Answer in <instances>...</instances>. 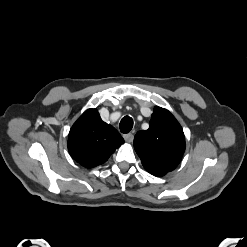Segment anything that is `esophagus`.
I'll return each mask as SVG.
<instances>
[{"label":"esophagus","instance_id":"1","mask_svg":"<svg viewBox=\"0 0 247 247\" xmlns=\"http://www.w3.org/2000/svg\"><path fill=\"white\" fill-rule=\"evenodd\" d=\"M123 137H124V140L128 143H132L134 140V135L131 133L125 134Z\"/></svg>","mask_w":247,"mask_h":247}]
</instances>
